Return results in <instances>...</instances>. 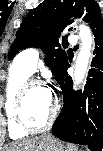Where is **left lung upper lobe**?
I'll return each mask as SVG.
<instances>
[{
  "instance_id": "left-lung-upper-lobe-1",
  "label": "left lung upper lobe",
  "mask_w": 103,
  "mask_h": 151,
  "mask_svg": "<svg viewBox=\"0 0 103 151\" xmlns=\"http://www.w3.org/2000/svg\"><path fill=\"white\" fill-rule=\"evenodd\" d=\"M72 17H82L92 30H103V19L96 1L45 0L23 18L16 32L17 38L8 53L9 60L27 46H38L45 54L46 65L56 78L68 60L66 53L56 47H59L61 31L72 24Z\"/></svg>"
}]
</instances>
